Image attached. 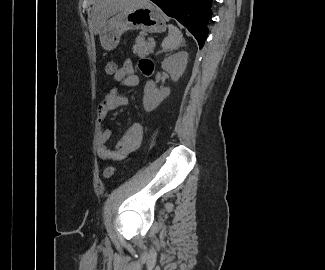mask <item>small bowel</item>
Instances as JSON below:
<instances>
[{
    "label": "small bowel",
    "mask_w": 325,
    "mask_h": 270,
    "mask_svg": "<svg viewBox=\"0 0 325 270\" xmlns=\"http://www.w3.org/2000/svg\"><path fill=\"white\" fill-rule=\"evenodd\" d=\"M139 69L145 75H149L153 71V63L151 60L144 58L139 61ZM117 77L114 79L117 85L135 86L138 84V76L135 74L134 66L131 61H125L116 71ZM128 103L126 96L118 93L117 88L108 91L99 103L96 110V150L97 155L102 160H122L130 153L134 152L140 146L143 136V126L140 123L130 125L115 149H110L107 142L111 137V129H102L108 112L125 106Z\"/></svg>",
    "instance_id": "small-bowel-1"
}]
</instances>
